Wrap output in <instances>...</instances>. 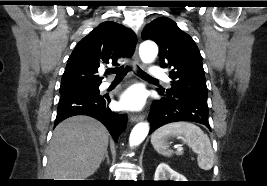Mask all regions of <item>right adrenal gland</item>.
I'll return each mask as SVG.
<instances>
[{"mask_svg": "<svg viewBox=\"0 0 267 186\" xmlns=\"http://www.w3.org/2000/svg\"><path fill=\"white\" fill-rule=\"evenodd\" d=\"M105 159L107 160V164H109L110 160H109V156H108V151L105 152V155H104V157L102 159V162H104Z\"/></svg>", "mask_w": 267, "mask_h": 186, "instance_id": "2a0ac1e0", "label": "right adrenal gland"}]
</instances>
